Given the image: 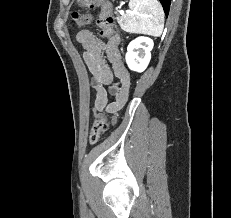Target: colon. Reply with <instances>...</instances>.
Returning <instances> with one entry per match:
<instances>
[{
	"label": "colon",
	"mask_w": 231,
	"mask_h": 218,
	"mask_svg": "<svg viewBox=\"0 0 231 218\" xmlns=\"http://www.w3.org/2000/svg\"><path fill=\"white\" fill-rule=\"evenodd\" d=\"M78 3L86 8L93 9L96 6H100V15L98 19V25L101 28V34L105 37H109L113 33L114 18L112 15V6L106 0H78ZM72 17L78 26H86L91 22V15L88 13H81L74 11ZM108 122L105 115L97 118L92 126L90 134V143L96 144L99 142L100 137L107 131Z\"/></svg>",
	"instance_id": "colon-1"
}]
</instances>
